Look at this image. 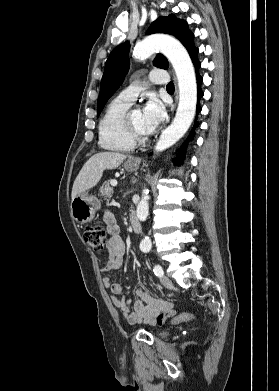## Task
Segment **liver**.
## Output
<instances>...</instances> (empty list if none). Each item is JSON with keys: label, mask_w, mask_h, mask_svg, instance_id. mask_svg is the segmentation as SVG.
Instances as JSON below:
<instances>
[{"label": "liver", "mask_w": 279, "mask_h": 391, "mask_svg": "<svg viewBox=\"0 0 279 391\" xmlns=\"http://www.w3.org/2000/svg\"><path fill=\"white\" fill-rule=\"evenodd\" d=\"M126 158V155L115 152H101L93 155L84 164L74 181L71 193L72 200L80 193L96 186L104 170L118 168Z\"/></svg>", "instance_id": "obj_1"}]
</instances>
